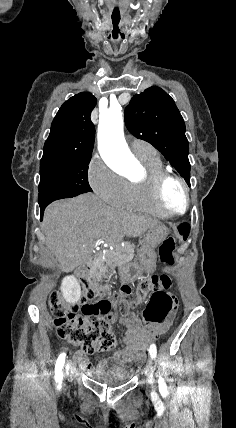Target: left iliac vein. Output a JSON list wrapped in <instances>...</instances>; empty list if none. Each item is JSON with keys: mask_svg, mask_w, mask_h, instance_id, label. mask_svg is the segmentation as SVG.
Masks as SVG:
<instances>
[{"mask_svg": "<svg viewBox=\"0 0 236 428\" xmlns=\"http://www.w3.org/2000/svg\"><path fill=\"white\" fill-rule=\"evenodd\" d=\"M153 368H154L153 360L147 359V365H145L144 367L145 372L150 373L152 372Z\"/></svg>", "mask_w": 236, "mask_h": 428, "instance_id": "obj_1", "label": "left iliac vein"}]
</instances>
